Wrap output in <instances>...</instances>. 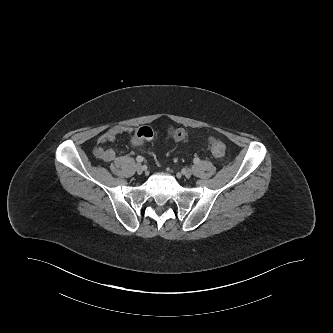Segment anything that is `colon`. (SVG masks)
<instances>
[{
    "instance_id": "obj_1",
    "label": "colon",
    "mask_w": 333,
    "mask_h": 333,
    "mask_svg": "<svg viewBox=\"0 0 333 333\" xmlns=\"http://www.w3.org/2000/svg\"><path fill=\"white\" fill-rule=\"evenodd\" d=\"M159 130L154 129L149 126L140 127L133 136L134 142H141L152 139L154 136L158 135ZM169 135L174 139H182L184 137V132L178 128H172L169 131ZM210 149L214 157L218 159H224L227 155L225 144L217 139L211 138Z\"/></svg>"
}]
</instances>
